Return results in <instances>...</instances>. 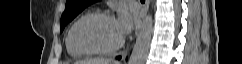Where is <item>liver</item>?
<instances>
[{"label":"liver","mask_w":242,"mask_h":64,"mask_svg":"<svg viewBox=\"0 0 242 64\" xmlns=\"http://www.w3.org/2000/svg\"><path fill=\"white\" fill-rule=\"evenodd\" d=\"M76 64H117V63L112 62L110 59L95 58V59H88L84 61H78Z\"/></svg>","instance_id":"obj_1"}]
</instances>
